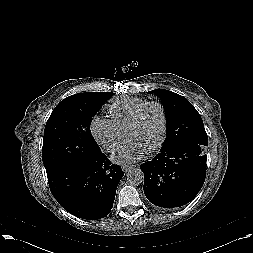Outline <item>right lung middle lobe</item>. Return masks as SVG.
Returning <instances> with one entry per match:
<instances>
[{
  "instance_id": "1",
  "label": "right lung middle lobe",
  "mask_w": 253,
  "mask_h": 253,
  "mask_svg": "<svg viewBox=\"0 0 253 253\" xmlns=\"http://www.w3.org/2000/svg\"><path fill=\"white\" fill-rule=\"evenodd\" d=\"M87 92L62 100L44 130L42 159L46 171L91 159L101 150L90 131L92 117L113 95Z\"/></svg>"
}]
</instances>
